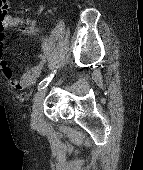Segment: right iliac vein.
I'll use <instances>...</instances> for the list:
<instances>
[{
	"instance_id": "obj_1",
	"label": "right iliac vein",
	"mask_w": 143,
	"mask_h": 170,
	"mask_svg": "<svg viewBox=\"0 0 143 170\" xmlns=\"http://www.w3.org/2000/svg\"><path fill=\"white\" fill-rule=\"evenodd\" d=\"M47 89L43 88L39 91L37 94L33 109H32V123L34 126H40L42 121V108H43V102L46 96Z\"/></svg>"
}]
</instances>
